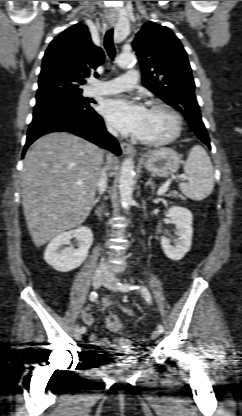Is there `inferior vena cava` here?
I'll list each match as a JSON object with an SVG mask.
<instances>
[{
	"mask_svg": "<svg viewBox=\"0 0 242 416\" xmlns=\"http://www.w3.org/2000/svg\"><path fill=\"white\" fill-rule=\"evenodd\" d=\"M108 131L114 135L117 136V132L111 128L110 126H108ZM106 167H104L101 172H100V176L98 179V183H97V188L98 191L100 193H103L107 187V173H106ZM98 270L102 271V272H106L108 270L107 266L105 265V263H103V261L100 263V265L98 266Z\"/></svg>",
	"mask_w": 242,
	"mask_h": 416,
	"instance_id": "602c4592",
	"label": "inferior vena cava"
}]
</instances>
